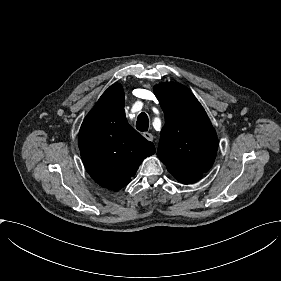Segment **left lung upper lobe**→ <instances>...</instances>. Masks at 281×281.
I'll return each instance as SVG.
<instances>
[{
	"mask_svg": "<svg viewBox=\"0 0 281 281\" xmlns=\"http://www.w3.org/2000/svg\"><path fill=\"white\" fill-rule=\"evenodd\" d=\"M165 115L157 155L170 173L201 175L214 163L218 139L204 108L183 85L154 87Z\"/></svg>",
	"mask_w": 281,
	"mask_h": 281,
	"instance_id": "left-lung-upper-lobe-1",
	"label": "left lung upper lobe"
}]
</instances>
